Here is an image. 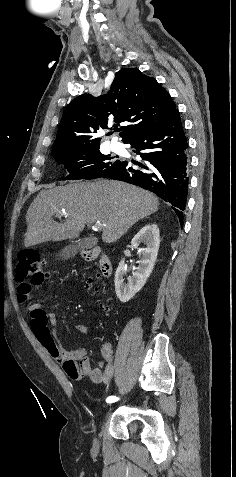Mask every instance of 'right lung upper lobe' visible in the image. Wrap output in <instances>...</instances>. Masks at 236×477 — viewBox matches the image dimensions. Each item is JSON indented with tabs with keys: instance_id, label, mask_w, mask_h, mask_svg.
<instances>
[{
	"instance_id": "right-lung-upper-lobe-1",
	"label": "right lung upper lobe",
	"mask_w": 236,
	"mask_h": 477,
	"mask_svg": "<svg viewBox=\"0 0 236 477\" xmlns=\"http://www.w3.org/2000/svg\"><path fill=\"white\" fill-rule=\"evenodd\" d=\"M177 112L168 92L157 81L138 69H122L115 74L110 90L99 97L83 94L65 108L53 154L74 152L90 146L100 147L97 131L109 121L125 122L124 143L134 136L166 124Z\"/></svg>"
}]
</instances>
